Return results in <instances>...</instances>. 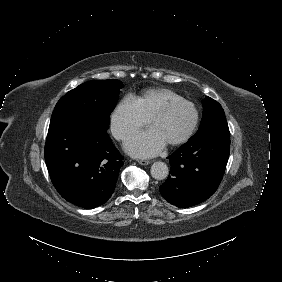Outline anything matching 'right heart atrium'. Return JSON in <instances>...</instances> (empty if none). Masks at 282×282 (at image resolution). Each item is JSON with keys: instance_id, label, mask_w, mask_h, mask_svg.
<instances>
[{"instance_id": "d8ad5b80", "label": "right heart atrium", "mask_w": 282, "mask_h": 282, "mask_svg": "<svg viewBox=\"0 0 282 282\" xmlns=\"http://www.w3.org/2000/svg\"><path fill=\"white\" fill-rule=\"evenodd\" d=\"M148 123L149 118L143 113L136 99L132 96H126L112 113L111 131L117 139L125 140Z\"/></svg>"}]
</instances>
